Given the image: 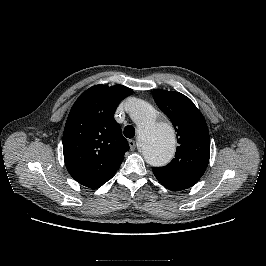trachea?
I'll use <instances>...</instances> for the list:
<instances>
[{
    "mask_svg": "<svg viewBox=\"0 0 266 266\" xmlns=\"http://www.w3.org/2000/svg\"><path fill=\"white\" fill-rule=\"evenodd\" d=\"M124 135L127 138H133L134 135H135L134 127L131 126V125L126 126L125 129H124Z\"/></svg>",
    "mask_w": 266,
    "mask_h": 266,
    "instance_id": "1",
    "label": "trachea"
}]
</instances>
